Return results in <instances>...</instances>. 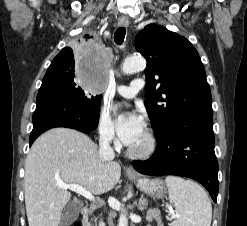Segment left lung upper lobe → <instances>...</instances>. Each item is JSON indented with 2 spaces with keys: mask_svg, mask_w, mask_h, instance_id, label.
<instances>
[{
  "mask_svg": "<svg viewBox=\"0 0 247 226\" xmlns=\"http://www.w3.org/2000/svg\"><path fill=\"white\" fill-rule=\"evenodd\" d=\"M135 48L147 60L144 104L155 133L195 110L212 109L203 64L186 38L153 23L137 34Z\"/></svg>",
  "mask_w": 247,
  "mask_h": 226,
  "instance_id": "left-lung-upper-lobe-1",
  "label": "left lung upper lobe"
}]
</instances>
